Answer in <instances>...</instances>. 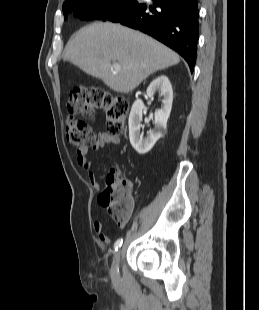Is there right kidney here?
Listing matches in <instances>:
<instances>
[{"label":"right kidney","mask_w":259,"mask_h":310,"mask_svg":"<svg viewBox=\"0 0 259 310\" xmlns=\"http://www.w3.org/2000/svg\"><path fill=\"white\" fill-rule=\"evenodd\" d=\"M156 92H159L163 97L162 106L155 113L154 128L147 137H143V133H141L142 112L145 107L141 99L134 102L129 115L130 143L139 154L149 152L166 132L173 101V90L167 76L161 75L151 82L147 88V97L152 98Z\"/></svg>","instance_id":"obj_1"}]
</instances>
